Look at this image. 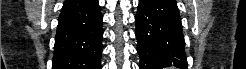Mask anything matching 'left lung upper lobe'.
I'll list each match as a JSON object with an SVG mask.
<instances>
[{
    "mask_svg": "<svg viewBox=\"0 0 246 69\" xmlns=\"http://www.w3.org/2000/svg\"><path fill=\"white\" fill-rule=\"evenodd\" d=\"M175 5H176V2H175V0H171Z\"/></svg>",
    "mask_w": 246,
    "mask_h": 69,
    "instance_id": "5c2ea615",
    "label": "left lung upper lobe"
}]
</instances>
